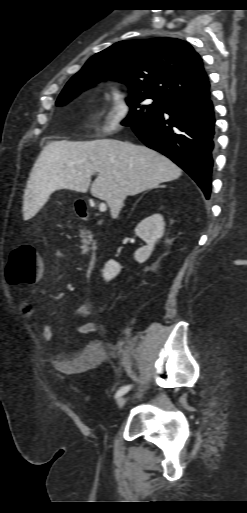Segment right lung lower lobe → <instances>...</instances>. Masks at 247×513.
<instances>
[{"label": "right lung lower lobe", "instance_id": "right-lung-lower-lobe-1", "mask_svg": "<svg viewBox=\"0 0 247 513\" xmlns=\"http://www.w3.org/2000/svg\"><path fill=\"white\" fill-rule=\"evenodd\" d=\"M214 110L210 96L166 102L152 118L132 126L148 147L185 170L209 199L214 149Z\"/></svg>", "mask_w": 247, "mask_h": 513}]
</instances>
